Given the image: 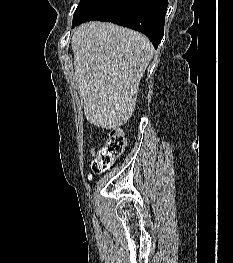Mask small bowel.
<instances>
[{
  "label": "small bowel",
  "instance_id": "obj_1",
  "mask_svg": "<svg viewBox=\"0 0 233 263\" xmlns=\"http://www.w3.org/2000/svg\"><path fill=\"white\" fill-rule=\"evenodd\" d=\"M90 155H91V156L94 155V150H93V149L90 150Z\"/></svg>",
  "mask_w": 233,
  "mask_h": 263
}]
</instances>
